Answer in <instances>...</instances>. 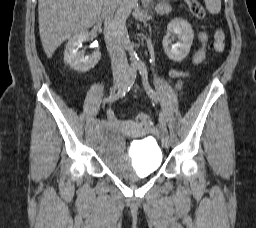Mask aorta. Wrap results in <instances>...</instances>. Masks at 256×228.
Masks as SVG:
<instances>
[{"label":"aorta","mask_w":256,"mask_h":228,"mask_svg":"<svg viewBox=\"0 0 256 228\" xmlns=\"http://www.w3.org/2000/svg\"><path fill=\"white\" fill-rule=\"evenodd\" d=\"M137 2L138 0H121V5L115 16L121 43L129 51L130 60L133 63V65H137L140 60L134 53L133 47L131 46L130 38L126 27V20L130 13L132 12V10L137 6Z\"/></svg>","instance_id":"obj_1"}]
</instances>
